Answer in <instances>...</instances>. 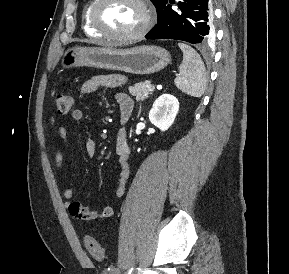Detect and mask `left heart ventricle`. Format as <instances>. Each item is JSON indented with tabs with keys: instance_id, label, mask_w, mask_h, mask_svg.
<instances>
[{
	"instance_id": "1",
	"label": "left heart ventricle",
	"mask_w": 289,
	"mask_h": 274,
	"mask_svg": "<svg viewBox=\"0 0 289 274\" xmlns=\"http://www.w3.org/2000/svg\"><path fill=\"white\" fill-rule=\"evenodd\" d=\"M100 23L109 31L128 34L143 23V11L133 0H110L98 12Z\"/></svg>"
}]
</instances>
